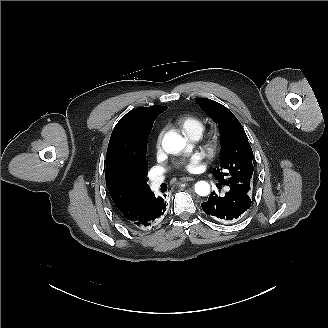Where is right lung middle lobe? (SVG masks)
<instances>
[{
  "label": "right lung middle lobe",
  "mask_w": 328,
  "mask_h": 328,
  "mask_svg": "<svg viewBox=\"0 0 328 328\" xmlns=\"http://www.w3.org/2000/svg\"><path fill=\"white\" fill-rule=\"evenodd\" d=\"M158 114L148 113L138 117L128 128L125 138L127 157L135 172L148 181L146 162L147 140Z\"/></svg>",
  "instance_id": "1"
}]
</instances>
